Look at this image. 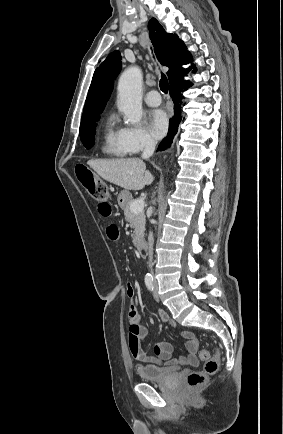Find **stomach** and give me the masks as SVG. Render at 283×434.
I'll return each instance as SVG.
<instances>
[{"label":"stomach","mask_w":283,"mask_h":434,"mask_svg":"<svg viewBox=\"0 0 283 434\" xmlns=\"http://www.w3.org/2000/svg\"><path fill=\"white\" fill-rule=\"evenodd\" d=\"M131 200V194L127 190L121 191L117 197L118 204L121 208L127 206Z\"/></svg>","instance_id":"1"}]
</instances>
